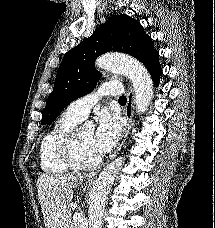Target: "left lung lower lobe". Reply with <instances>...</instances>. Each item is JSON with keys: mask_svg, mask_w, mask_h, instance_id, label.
<instances>
[{"mask_svg": "<svg viewBox=\"0 0 215 228\" xmlns=\"http://www.w3.org/2000/svg\"><path fill=\"white\" fill-rule=\"evenodd\" d=\"M149 70L155 85L159 84V78L162 74V68L159 64V53L156 52L150 62L146 65Z\"/></svg>", "mask_w": 215, "mask_h": 228, "instance_id": "left-lung-lower-lobe-1", "label": "left lung lower lobe"}]
</instances>
